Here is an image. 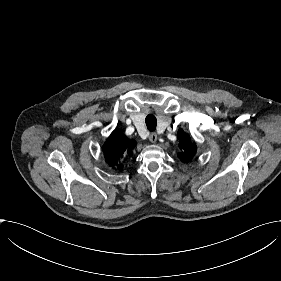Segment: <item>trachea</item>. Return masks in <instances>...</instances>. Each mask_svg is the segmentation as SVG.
I'll use <instances>...</instances> for the list:
<instances>
[{"mask_svg": "<svg viewBox=\"0 0 281 281\" xmlns=\"http://www.w3.org/2000/svg\"><path fill=\"white\" fill-rule=\"evenodd\" d=\"M146 126L149 131H154L157 126V119L153 114H149L146 119Z\"/></svg>", "mask_w": 281, "mask_h": 281, "instance_id": "1", "label": "trachea"}]
</instances>
